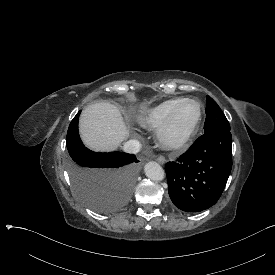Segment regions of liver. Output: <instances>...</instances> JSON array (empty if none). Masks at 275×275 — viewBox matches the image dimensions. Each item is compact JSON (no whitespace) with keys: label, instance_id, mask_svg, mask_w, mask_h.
<instances>
[{"label":"liver","instance_id":"obj_1","mask_svg":"<svg viewBox=\"0 0 275 275\" xmlns=\"http://www.w3.org/2000/svg\"><path fill=\"white\" fill-rule=\"evenodd\" d=\"M78 130L87 148L102 153L118 150L130 135L120 108L108 102L87 106L80 114Z\"/></svg>","mask_w":275,"mask_h":275}]
</instances>
